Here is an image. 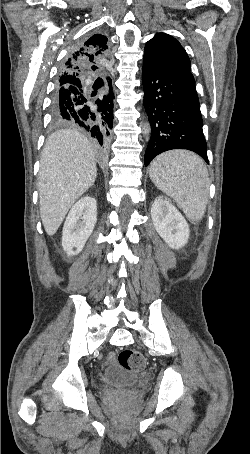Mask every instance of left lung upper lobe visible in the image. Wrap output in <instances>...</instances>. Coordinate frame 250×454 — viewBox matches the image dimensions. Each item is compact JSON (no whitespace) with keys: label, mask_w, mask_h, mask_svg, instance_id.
Here are the masks:
<instances>
[{"label":"left lung upper lobe","mask_w":250,"mask_h":454,"mask_svg":"<svg viewBox=\"0 0 250 454\" xmlns=\"http://www.w3.org/2000/svg\"><path fill=\"white\" fill-rule=\"evenodd\" d=\"M144 58L162 67L191 70L190 59L181 44L172 36L157 33L146 43Z\"/></svg>","instance_id":"5c2ea615"}]
</instances>
